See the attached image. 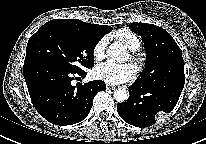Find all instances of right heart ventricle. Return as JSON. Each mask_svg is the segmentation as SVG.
<instances>
[{"label": "right heart ventricle", "instance_id": "obj_1", "mask_svg": "<svg viewBox=\"0 0 206 144\" xmlns=\"http://www.w3.org/2000/svg\"><path fill=\"white\" fill-rule=\"evenodd\" d=\"M113 37L120 40L127 48L136 51L141 47V40L139 37L129 29H119L113 34Z\"/></svg>", "mask_w": 206, "mask_h": 144}]
</instances>
